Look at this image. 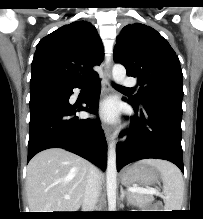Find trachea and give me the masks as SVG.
<instances>
[{
    "label": "trachea",
    "instance_id": "obj_1",
    "mask_svg": "<svg viewBox=\"0 0 203 219\" xmlns=\"http://www.w3.org/2000/svg\"><path fill=\"white\" fill-rule=\"evenodd\" d=\"M87 84H90V82H88ZM115 87L119 88V89H123V90H131L129 88L123 87V86H117L115 85Z\"/></svg>",
    "mask_w": 203,
    "mask_h": 219
}]
</instances>
